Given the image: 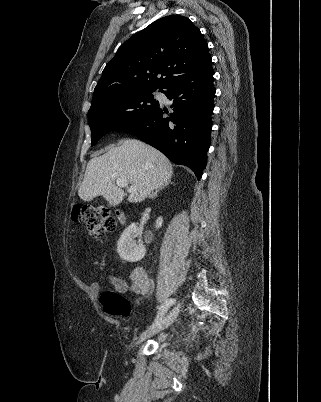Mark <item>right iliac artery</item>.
<instances>
[{
    "instance_id": "obj_1",
    "label": "right iliac artery",
    "mask_w": 321,
    "mask_h": 402,
    "mask_svg": "<svg viewBox=\"0 0 321 402\" xmlns=\"http://www.w3.org/2000/svg\"><path fill=\"white\" fill-rule=\"evenodd\" d=\"M175 301H176L175 299L170 298V299L166 300L164 303L161 304V306L159 308V312H158V314L156 316V319H155L154 323L152 324V326H150V328H154L155 326L160 324V322L162 321L166 311L168 310V308L170 306H172L175 303Z\"/></svg>"
}]
</instances>
